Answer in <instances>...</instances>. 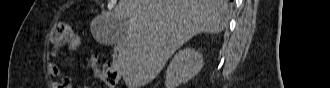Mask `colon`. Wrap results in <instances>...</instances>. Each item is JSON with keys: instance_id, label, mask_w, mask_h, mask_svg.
<instances>
[{"instance_id": "obj_1", "label": "colon", "mask_w": 330, "mask_h": 88, "mask_svg": "<svg viewBox=\"0 0 330 88\" xmlns=\"http://www.w3.org/2000/svg\"><path fill=\"white\" fill-rule=\"evenodd\" d=\"M51 43L53 49L57 51L62 45H68L74 49L80 46V36L66 21H59L52 32ZM93 74L109 87H115L119 77V61L117 53L113 54V61L100 67L94 58L89 64Z\"/></svg>"}]
</instances>
